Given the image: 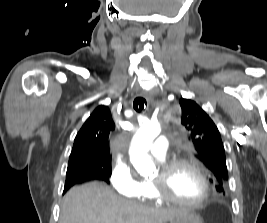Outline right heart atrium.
Wrapping results in <instances>:
<instances>
[{"label":"right heart atrium","mask_w":267,"mask_h":223,"mask_svg":"<svg viewBox=\"0 0 267 223\" xmlns=\"http://www.w3.org/2000/svg\"><path fill=\"white\" fill-rule=\"evenodd\" d=\"M110 182L115 192L130 196L137 194L140 184L132 167L126 161L115 164L111 171Z\"/></svg>","instance_id":"right-heart-atrium-1"}]
</instances>
